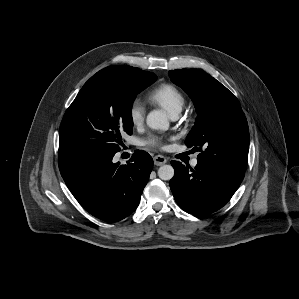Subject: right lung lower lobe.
Segmentation results:
<instances>
[{
  "mask_svg": "<svg viewBox=\"0 0 299 299\" xmlns=\"http://www.w3.org/2000/svg\"><path fill=\"white\" fill-rule=\"evenodd\" d=\"M114 155L59 147V169L67 187L85 210L109 222L137 208L153 167L145 151H135L127 165L113 163Z\"/></svg>",
  "mask_w": 299,
  "mask_h": 299,
  "instance_id": "right-lung-lower-lobe-1",
  "label": "right lung lower lobe"
}]
</instances>
